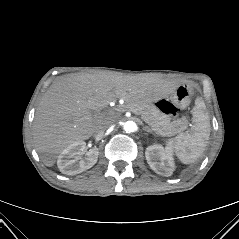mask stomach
Masks as SVG:
<instances>
[{
    "instance_id": "obj_1",
    "label": "stomach",
    "mask_w": 239,
    "mask_h": 239,
    "mask_svg": "<svg viewBox=\"0 0 239 239\" xmlns=\"http://www.w3.org/2000/svg\"><path fill=\"white\" fill-rule=\"evenodd\" d=\"M192 94V87L187 83L179 84L172 95L159 98L154 102L160 107L161 117L171 123H180L187 116V107Z\"/></svg>"
}]
</instances>
